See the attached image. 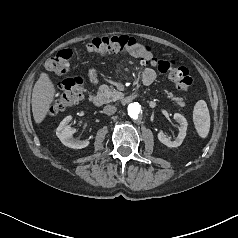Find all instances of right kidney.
I'll list each match as a JSON object with an SVG mask.
<instances>
[{"instance_id": "right-kidney-1", "label": "right kidney", "mask_w": 238, "mask_h": 238, "mask_svg": "<svg viewBox=\"0 0 238 238\" xmlns=\"http://www.w3.org/2000/svg\"><path fill=\"white\" fill-rule=\"evenodd\" d=\"M72 120L71 116H67L61 121L56 130V135L60 141L65 145L73 149H82L89 145L88 140H78L73 137L75 129L70 127L69 123Z\"/></svg>"}]
</instances>
